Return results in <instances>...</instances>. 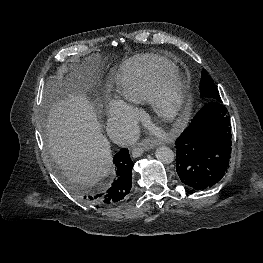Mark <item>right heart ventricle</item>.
Returning a JSON list of instances; mask_svg holds the SVG:
<instances>
[{"label":"right heart ventricle","instance_id":"1","mask_svg":"<svg viewBox=\"0 0 263 263\" xmlns=\"http://www.w3.org/2000/svg\"><path fill=\"white\" fill-rule=\"evenodd\" d=\"M177 72L170 61L156 56L141 55L126 61L115 77L119 97L129 104L145 102L154 82L163 75Z\"/></svg>","mask_w":263,"mask_h":263}]
</instances>
